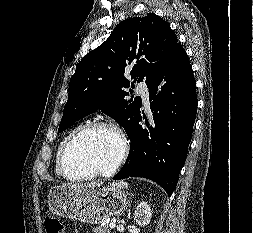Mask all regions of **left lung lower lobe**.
<instances>
[{
  "mask_svg": "<svg viewBox=\"0 0 253 233\" xmlns=\"http://www.w3.org/2000/svg\"><path fill=\"white\" fill-rule=\"evenodd\" d=\"M148 88L151 122L146 119V127L139 124L143 114L139 109L127 134L131 142L128 158L113 179L148 178L171 196L185 163L197 109L192 66L180 43Z\"/></svg>",
  "mask_w": 253,
  "mask_h": 233,
  "instance_id": "obj_1",
  "label": "left lung lower lobe"
}]
</instances>
